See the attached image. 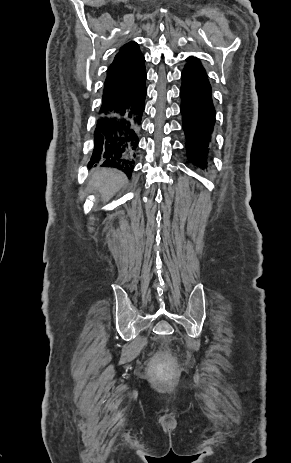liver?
I'll return each instance as SVG.
<instances>
[{
  "label": "liver",
  "mask_w": 291,
  "mask_h": 463,
  "mask_svg": "<svg viewBox=\"0 0 291 463\" xmlns=\"http://www.w3.org/2000/svg\"><path fill=\"white\" fill-rule=\"evenodd\" d=\"M127 181V177L116 169H96L92 172L88 189L90 192H95L101 196L102 201L108 202Z\"/></svg>",
  "instance_id": "1"
}]
</instances>
